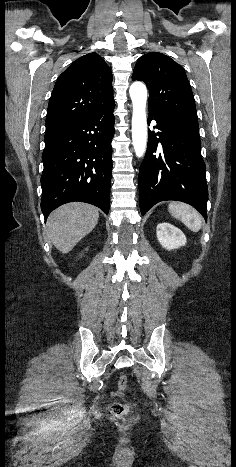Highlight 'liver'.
Segmentation results:
<instances>
[{"mask_svg":"<svg viewBox=\"0 0 236 467\" xmlns=\"http://www.w3.org/2000/svg\"><path fill=\"white\" fill-rule=\"evenodd\" d=\"M98 219V209L90 204H65L48 217V237L61 253L66 254L95 228Z\"/></svg>","mask_w":236,"mask_h":467,"instance_id":"1","label":"liver"}]
</instances>
